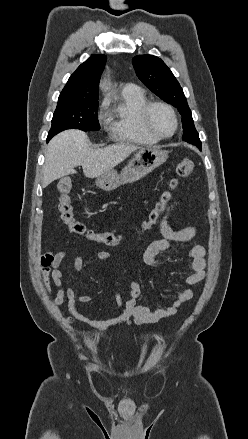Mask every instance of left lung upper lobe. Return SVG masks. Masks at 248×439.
Returning <instances> with one entry per match:
<instances>
[{"label":"left lung upper lobe","mask_w":248,"mask_h":439,"mask_svg":"<svg viewBox=\"0 0 248 439\" xmlns=\"http://www.w3.org/2000/svg\"><path fill=\"white\" fill-rule=\"evenodd\" d=\"M138 78L158 97L172 104L182 116L183 140L201 149V141L195 129L192 114L179 82L171 70L158 57L138 55L133 58Z\"/></svg>","instance_id":"obj_1"}]
</instances>
